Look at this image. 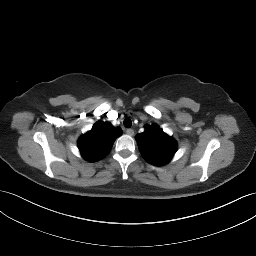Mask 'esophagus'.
Instances as JSON below:
<instances>
[{"label":"esophagus","instance_id":"obj_1","mask_svg":"<svg viewBox=\"0 0 256 256\" xmlns=\"http://www.w3.org/2000/svg\"><path fill=\"white\" fill-rule=\"evenodd\" d=\"M126 133H127L129 136H133V135H134V130H133V129H127V130H126Z\"/></svg>","mask_w":256,"mask_h":256}]
</instances>
